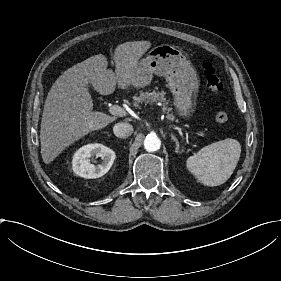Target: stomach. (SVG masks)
<instances>
[{
    "instance_id": "0dacf381",
    "label": "stomach",
    "mask_w": 281,
    "mask_h": 281,
    "mask_svg": "<svg viewBox=\"0 0 281 281\" xmlns=\"http://www.w3.org/2000/svg\"><path fill=\"white\" fill-rule=\"evenodd\" d=\"M165 77L182 113L191 112L198 87L196 72L183 52L174 46L158 45L137 60L131 71L129 86L140 89L148 86L153 76Z\"/></svg>"
}]
</instances>
